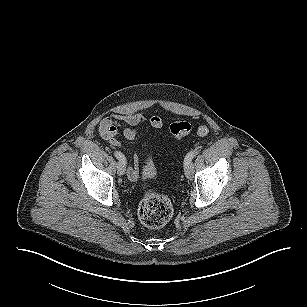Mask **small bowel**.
<instances>
[{
  "label": "small bowel",
  "instance_id": "1",
  "mask_svg": "<svg viewBox=\"0 0 307 307\" xmlns=\"http://www.w3.org/2000/svg\"><path fill=\"white\" fill-rule=\"evenodd\" d=\"M148 123L152 128H161L163 120L159 116L147 118L141 113L119 115L115 114L111 117L103 119L99 125L100 136L113 147H120L121 142L117 136L119 132L127 140H133L138 135L140 128ZM127 176L131 181H136L139 176V156L134 154L133 165L128 167Z\"/></svg>",
  "mask_w": 307,
  "mask_h": 307
}]
</instances>
